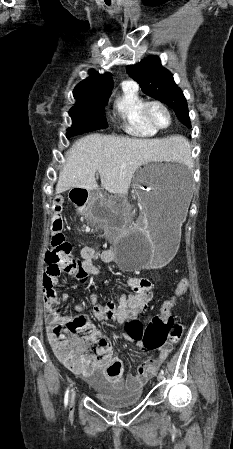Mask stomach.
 Segmentation results:
<instances>
[{
	"mask_svg": "<svg viewBox=\"0 0 233 449\" xmlns=\"http://www.w3.org/2000/svg\"><path fill=\"white\" fill-rule=\"evenodd\" d=\"M188 169L182 164H145L132 181V192L145 208L139 225L130 229L131 212L123 210L117 196H90L82 214L104 227H121L125 233L113 240V253L124 271L165 266L175 256L181 224L193 199Z\"/></svg>",
	"mask_w": 233,
	"mask_h": 449,
	"instance_id": "stomach-1",
	"label": "stomach"
}]
</instances>
